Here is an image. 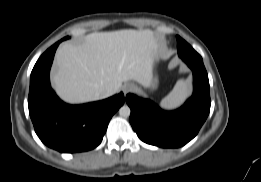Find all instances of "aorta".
<instances>
[{"label": "aorta", "mask_w": 261, "mask_h": 182, "mask_svg": "<svg viewBox=\"0 0 261 182\" xmlns=\"http://www.w3.org/2000/svg\"><path fill=\"white\" fill-rule=\"evenodd\" d=\"M130 108H129V106H127V105H124V106H122L120 109H119V114H120V116H122V117H129L130 116Z\"/></svg>", "instance_id": "aorta-1"}]
</instances>
